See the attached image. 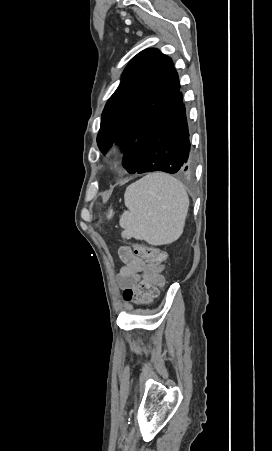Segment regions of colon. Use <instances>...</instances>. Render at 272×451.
Here are the masks:
<instances>
[{
	"label": "colon",
	"instance_id": "1",
	"mask_svg": "<svg viewBox=\"0 0 272 451\" xmlns=\"http://www.w3.org/2000/svg\"><path fill=\"white\" fill-rule=\"evenodd\" d=\"M112 215V212L106 213L108 217ZM166 257L167 255L163 251L153 247L145 248L142 244H138L136 249H131V258H145L152 261L153 264L155 261H163ZM158 287L157 271L153 265L142 281L123 292V300L127 303L146 304L157 294Z\"/></svg>",
	"mask_w": 272,
	"mask_h": 451
}]
</instances>
